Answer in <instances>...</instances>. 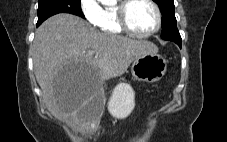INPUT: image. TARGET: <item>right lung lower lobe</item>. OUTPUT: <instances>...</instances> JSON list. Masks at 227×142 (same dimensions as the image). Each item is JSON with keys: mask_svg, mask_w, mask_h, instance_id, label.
I'll return each mask as SVG.
<instances>
[{"mask_svg": "<svg viewBox=\"0 0 227 142\" xmlns=\"http://www.w3.org/2000/svg\"><path fill=\"white\" fill-rule=\"evenodd\" d=\"M41 23H37V27L40 25Z\"/></svg>", "mask_w": 227, "mask_h": 142, "instance_id": "98d812e1", "label": "right lung lower lobe"}]
</instances>
